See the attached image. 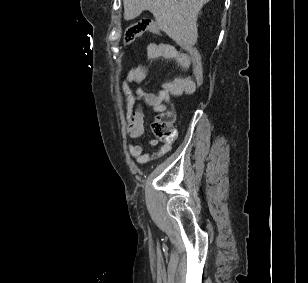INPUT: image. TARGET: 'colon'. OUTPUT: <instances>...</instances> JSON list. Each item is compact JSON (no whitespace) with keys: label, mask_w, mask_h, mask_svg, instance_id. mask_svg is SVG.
I'll return each mask as SVG.
<instances>
[{"label":"colon","mask_w":308,"mask_h":283,"mask_svg":"<svg viewBox=\"0 0 308 283\" xmlns=\"http://www.w3.org/2000/svg\"><path fill=\"white\" fill-rule=\"evenodd\" d=\"M146 32L162 33L160 27L151 20H141L126 28L123 34V43L126 45L130 44ZM185 49L191 58L192 83L188 93H194L203 83L202 56L198 48L193 45H185ZM174 120L172 110L160 113L151 124V131L154 136L162 141H173L176 137Z\"/></svg>","instance_id":"1"}]
</instances>
